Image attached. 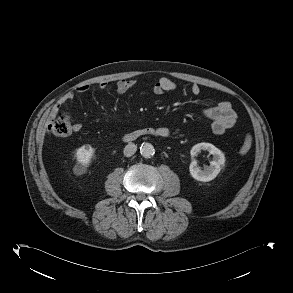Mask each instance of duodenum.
I'll return each instance as SVG.
<instances>
[{
    "instance_id": "1",
    "label": "duodenum",
    "mask_w": 293,
    "mask_h": 293,
    "mask_svg": "<svg viewBox=\"0 0 293 293\" xmlns=\"http://www.w3.org/2000/svg\"><path fill=\"white\" fill-rule=\"evenodd\" d=\"M144 135H158V132L154 128L146 127L126 134L123 139L126 142H131Z\"/></svg>"
}]
</instances>
